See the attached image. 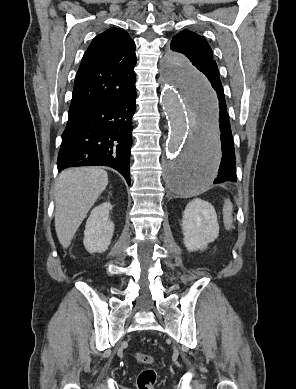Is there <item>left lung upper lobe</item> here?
<instances>
[{
  "label": "left lung upper lobe",
  "mask_w": 296,
  "mask_h": 389,
  "mask_svg": "<svg viewBox=\"0 0 296 389\" xmlns=\"http://www.w3.org/2000/svg\"><path fill=\"white\" fill-rule=\"evenodd\" d=\"M171 50L185 55L206 79L218 70L209 44L192 31L185 30L175 35L171 42Z\"/></svg>",
  "instance_id": "left-lung-upper-lobe-1"
}]
</instances>
